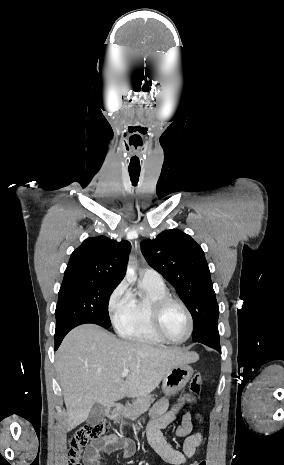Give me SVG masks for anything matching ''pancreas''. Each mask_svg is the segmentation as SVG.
<instances>
[{
    "instance_id": "obj_1",
    "label": "pancreas",
    "mask_w": 284,
    "mask_h": 465,
    "mask_svg": "<svg viewBox=\"0 0 284 465\" xmlns=\"http://www.w3.org/2000/svg\"><path fill=\"white\" fill-rule=\"evenodd\" d=\"M152 395H143V397H136L132 405H127L122 411V417L125 419H137L139 415L146 413L150 409Z\"/></svg>"
}]
</instances>
